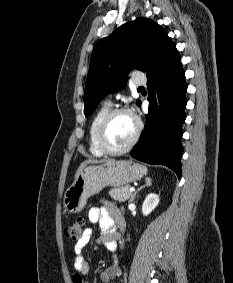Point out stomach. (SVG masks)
Masks as SVG:
<instances>
[{"label":"stomach","mask_w":233,"mask_h":283,"mask_svg":"<svg viewBox=\"0 0 233 283\" xmlns=\"http://www.w3.org/2000/svg\"><path fill=\"white\" fill-rule=\"evenodd\" d=\"M146 174L145 166L131 160H111L100 165L85 166L64 194V209L69 213H78L85 207L88 198L106 186L121 187Z\"/></svg>","instance_id":"0dacf381"}]
</instances>
